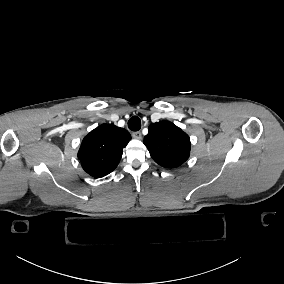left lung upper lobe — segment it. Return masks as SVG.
I'll return each mask as SVG.
<instances>
[{
  "mask_svg": "<svg viewBox=\"0 0 284 284\" xmlns=\"http://www.w3.org/2000/svg\"><path fill=\"white\" fill-rule=\"evenodd\" d=\"M144 137V144L154 161L165 168L182 165L190 155V139L169 121L152 123Z\"/></svg>",
  "mask_w": 284,
  "mask_h": 284,
  "instance_id": "5c2ea615",
  "label": "left lung upper lobe"
}]
</instances>
